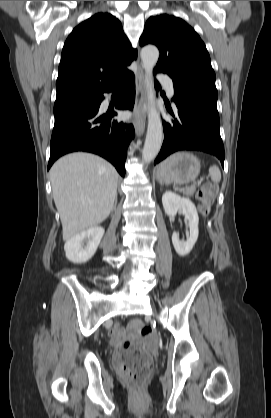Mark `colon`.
Returning <instances> with one entry per match:
<instances>
[{
	"label": "colon",
	"mask_w": 271,
	"mask_h": 418,
	"mask_svg": "<svg viewBox=\"0 0 271 418\" xmlns=\"http://www.w3.org/2000/svg\"><path fill=\"white\" fill-rule=\"evenodd\" d=\"M216 186L207 183L197 193L200 209L207 214L214 202ZM139 334L124 342L114 354V367L121 378L133 388L139 390L146 382L152 369V358L143 348L142 339L153 335L149 326L138 325Z\"/></svg>",
	"instance_id": "colon-1"
}]
</instances>
